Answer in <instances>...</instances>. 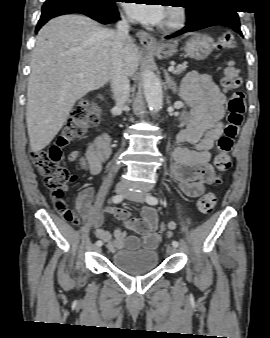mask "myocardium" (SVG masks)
<instances>
[{
    "label": "myocardium",
    "instance_id": "obj_1",
    "mask_svg": "<svg viewBox=\"0 0 270 338\" xmlns=\"http://www.w3.org/2000/svg\"><path fill=\"white\" fill-rule=\"evenodd\" d=\"M187 20L186 9L179 5L169 6L166 19L160 23L159 29L164 32H173L181 29Z\"/></svg>",
    "mask_w": 270,
    "mask_h": 338
}]
</instances>
